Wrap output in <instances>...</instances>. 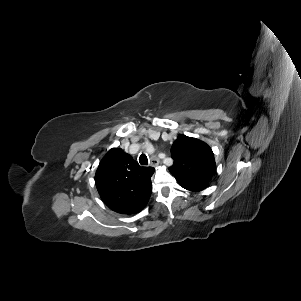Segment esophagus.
<instances>
[{"label":"esophagus","instance_id":"esophagus-1","mask_svg":"<svg viewBox=\"0 0 301 301\" xmlns=\"http://www.w3.org/2000/svg\"><path fill=\"white\" fill-rule=\"evenodd\" d=\"M150 165L155 167L157 165H159V159L157 157H152L151 160H150Z\"/></svg>","mask_w":301,"mask_h":301}]
</instances>
